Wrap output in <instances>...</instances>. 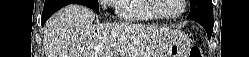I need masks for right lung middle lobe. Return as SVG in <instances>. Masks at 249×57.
Instances as JSON below:
<instances>
[{
  "instance_id": "right-lung-middle-lobe-1",
  "label": "right lung middle lobe",
  "mask_w": 249,
  "mask_h": 57,
  "mask_svg": "<svg viewBox=\"0 0 249 57\" xmlns=\"http://www.w3.org/2000/svg\"><path fill=\"white\" fill-rule=\"evenodd\" d=\"M81 5H85L91 9H93L95 12H99V3L98 0H78Z\"/></svg>"
}]
</instances>
